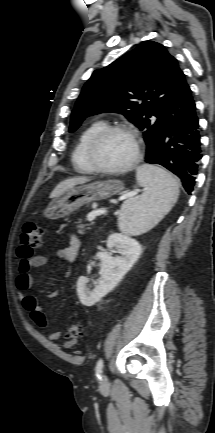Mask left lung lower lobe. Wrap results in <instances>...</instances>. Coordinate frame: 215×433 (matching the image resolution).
<instances>
[{"mask_svg":"<svg viewBox=\"0 0 215 433\" xmlns=\"http://www.w3.org/2000/svg\"><path fill=\"white\" fill-rule=\"evenodd\" d=\"M202 158L199 122L191 90L184 81L170 101L164 125L146 162L159 164L177 175L191 194Z\"/></svg>","mask_w":215,"mask_h":433,"instance_id":"obj_1","label":"left lung lower lobe"}]
</instances>
